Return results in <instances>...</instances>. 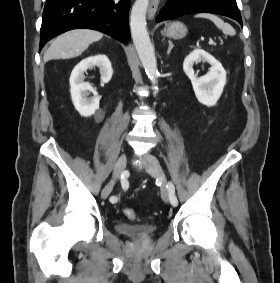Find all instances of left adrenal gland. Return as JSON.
I'll return each mask as SVG.
<instances>
[{
  "instance_id": "left-adrenal-gland-1",
  "label": "left adrenal gland",
  "mask_w": 280,
  "mask_h": 283,
  "mask_svg": "<svg viewBox=\"0 0 280 283\" xmlns=\"http://www.w3.org/2000/svg\"><path fill=\"white\" fill-rule=\"evenodd\" d=\"M168 43H169V47H168V50H167V54L169 55L171 50L173 49L174 45L171 41H168Z\"/></svg>"
}]
</instances>
